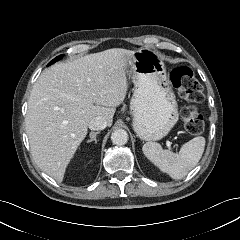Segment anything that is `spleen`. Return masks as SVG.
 Masks as SVG:
<instances>
[{
  "label": "spleen",
  "mask_w": 240,
  "mask_h": 240,
  "mask_svg": "<svg viewBox=\"0 0 240 240\" xmlns=\"http://www.w3.org/2000/svg\"><path fill=\"white\" fill-rule=\"evenodd\" d=\"M205 142L204 137H195L183 144L178 154L162 149L159 143L147 142L143 145L142 151L162 172L173 179H182L201 159Z\"/></svg>",
  "instance_id": "1"
}]
</instances>
